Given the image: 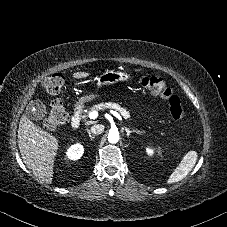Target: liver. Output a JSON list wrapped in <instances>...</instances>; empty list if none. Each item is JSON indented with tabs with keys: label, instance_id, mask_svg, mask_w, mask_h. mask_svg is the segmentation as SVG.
Wrapping results in <instances>:
<instances>
[{
	"label": "liver",
	"instance_id": "6515ba94",
	"mask_svg": "<svg viewBox=\"0 0 227 227\" xmlns=\"http://www.w3.org/2000/svg\"><path fill=\"white\" fill-rule=\"evenodd\" d=\"M88 72H76V79L86 78ZM18 146L26 167L40 181L50 184L58 151V139L34 124L27 115H22L18 128Z\"/></svg>",
	"mask_w": 227,
	"mask_h": 227
}]
</instances>
